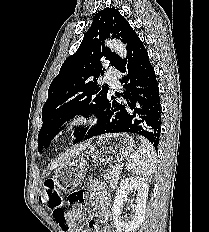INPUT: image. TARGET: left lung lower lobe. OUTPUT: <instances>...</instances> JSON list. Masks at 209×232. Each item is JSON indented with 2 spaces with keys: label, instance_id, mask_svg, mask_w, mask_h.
Returning a JSON list of instances; mask_svg holds the SVG:
<instances>
[{
  "label": "left lung lower lobe",
  "instance_id": "0a47b994",
  "mask_svg": "<svg viewBox=\"0 0 209 232\" xmlns=\"http://www.w3.org/2000/svg\"><path fill=\"white\" fill-rule=\"evenodd\" d=\"M118 70L124 103L108 99L103 113L83 140L106 133H135L147 138L157 149L161 132V104L158 81L147 50L140 38L133 44Z\"/></svg>",
  "mask_w": 209,
  "mask_h": 232
}]
</instances>
